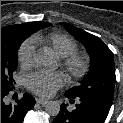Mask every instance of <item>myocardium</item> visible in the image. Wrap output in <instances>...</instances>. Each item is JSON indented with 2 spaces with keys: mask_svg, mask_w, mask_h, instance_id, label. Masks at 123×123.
Here are the masks:
<instances>
[{
  "mask_svg": "<svg viewBox=\"0 0 123 123\" xmlns=\"http://www.w3.org/2000/svg\"><path fill=\"white\" fill-rule=\"evenodd\" d=\"M62 65L68 74L73 78H81L89 70L88 59L81 54L73 53L62 60Z\"/></svg>",
  "mask_w": 123,
  "mask_h": 123,
  "instance_id": "myocardium-1",
  "label": "myocardium"
}]
</instances>
